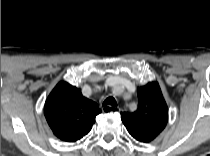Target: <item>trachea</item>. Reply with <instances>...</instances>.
Here are the masks:
<instances>
[{
    "label": "trachea",
    "instance_id": "3493384b",
    "mask_svg": "<svg viewBox=\"0 0 210 156\" xmlns=\"http://www.w3.org/2000/svg\"><path fill=\"white\" fill-rule=\"evenodd\" d=\"M117 106V102L113 97H108L104 102L102 106Z\"/></svg>",
    "mask_w": 210,
    "mask_h": 156
}]
</instances>
